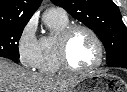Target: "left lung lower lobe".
Returning <instances> with one entry per match:
<instances>
[{
  "instance_id": "1",
  "label": "left lung lower lobe",
  "mask_w": 127,
  "mask_h": 92,
  "mask_svg": "<svg viewBox=\"0 0 127 92\" xmlns=\"http://www.w3.org/2000/svg\"><path fill=\"white\" fill-rule=\"evenodd\" d=\"M108 66L127 68V57L119 58L111 63H108Z\"/></svg>"
}]
</instances>
